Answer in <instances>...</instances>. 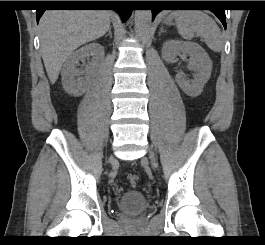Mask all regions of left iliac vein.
I'll use <instances>...</instances> for the list:
<instances>
[{"instance_id": "obj_1", "label": "left iliac vein", "mask_w": 265, "mask_h": 245, "mask_svg": "<svg viewBox=\"0 0 265 245\" xmlns=\"http://www.w3.org/2000/svg\"><path fill=\"white\" fill-rule=\"evenodd\" d=\"M149 155H150V159H151L152 165L155 166V158H154V155H153V153L151 152V150H149Z\"/></svg>"}]
</instances>
